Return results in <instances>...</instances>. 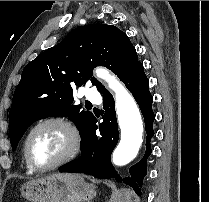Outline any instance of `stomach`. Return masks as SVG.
I'll list each match as a JSON object with an SVG mask.
<instances>
[{"mask_svg":"<svg viewBox=\"0 0 209 202\" xmlns=\"http://www.w3.org/2000/svg\"><path fill=\"white\" fill-rule=\"evenodd\" d=\"M21 195L30 202H85L96 195L95 187L79 174L58 173L24 183Z\"/></svg>","mask_w":209,"mask_h":202,"instance_id":"stomach-1","label":"stomach"}]
</instances>
